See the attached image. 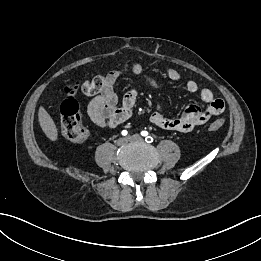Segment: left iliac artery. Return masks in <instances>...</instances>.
Returning <instances> with one entry per match:
<instances>
[{
  "label": "left iliac artery",
  "instance_id": "1",
  "mask_svg": "<svg viewBox=\"0 0 261 261\" xmlns=\"http://www.w3.org/2000/svg\"><path fill=\"white\" fill-rule=\"evenodd\" d=\"M141 135H142V136H146V137H145V141H146L147 143H152V142H153V138H152L151 136H148V132H147V131H142V132H141Z\"/></svg>",
  "mask_w": 261,
  "mask_h": 261
}]
</instances>
